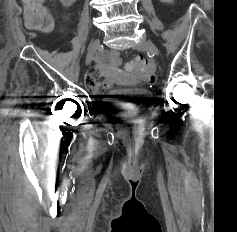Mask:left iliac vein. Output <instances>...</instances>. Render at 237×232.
<instances>
[{"label":"left iliac vein","mask_w":237,"mask_h":232,"mask_svg":"<svg viewBox=\"0 0 237 232\" xmlns=\"http://www.w3.org/2000/svg\"><path fill=\"white\" fill-rule=\"evenodd\" d=\"M135 49L140 51H149L153 55H159L157 46L151 41H143L135 46Z\"/></svg>","instance_id":"1"}]
</instances>
